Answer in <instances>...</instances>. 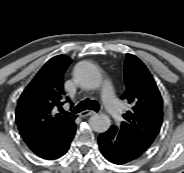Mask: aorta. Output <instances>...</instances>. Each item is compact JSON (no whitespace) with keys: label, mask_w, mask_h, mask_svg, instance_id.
Returning a JSON list of instances; mask_svg holds the SVG:
<instances>
[{"label":"aorta","mask_w":184,"mask_h":173,"mask_svg":"<svg viewBox=\"0 0 184 173\" xmlns=\"http://www.w3.org/2000/svg\"><path fill=\"white\" fill-rule=\"evenodd\" d=\"M76 77L80 85L86 89H97L102 83V77L97 67L90 62H82L76 68ZM91 128L98 133L106 132L111 126V120L106 114H95L89 119Z\"/></svg>","instance_id":"obj_1"}]
</instances>
